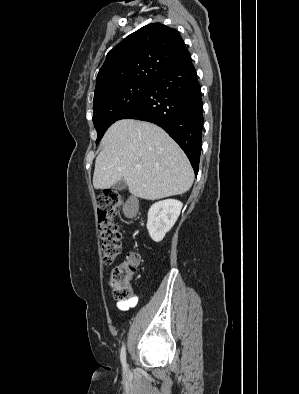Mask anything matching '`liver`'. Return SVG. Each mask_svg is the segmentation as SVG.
<instances>
[{"mask_svg":"<svg viewBox=\"0 0 299 394\" xmlns=\"http://www.w3.org/2000/svg\"><path fill=\"white\" fill-rule=\"evenodd\" d=\"M102 145L95 161V189L124 179L132 195L157 200L183 194L192 186L194 172L187 156L157 125L119 120L106 131Z\"/></svg>","mask_w":299,"mask_h":394,"instance_id":"6515ba94","label":"liver"}]
</instances>
